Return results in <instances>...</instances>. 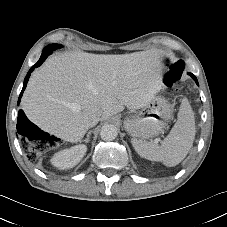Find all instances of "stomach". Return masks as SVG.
<instances>
[{
  "instance_id": "stomach-1",
  "label": "stomach",
  "mask_w": 227,
  "mask_h": 227,
  "mask_svg": "<svg viewBox=\"0 0 227 227\" xmlns=\"http://www.w3.org/2000/svg\"><path fill=\"white\" fill-rule=\"evenodd\" d=\"M172 118V108L162 96H155L140 111L126 118L124 127L135 139L143 141L161 134Z\"/></svg>"
}]
</instances>
